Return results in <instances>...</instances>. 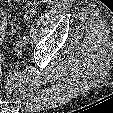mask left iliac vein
<instances>
[{
    "instance_id": "obj_1",
    "label": "left iliac vein",
    "mask_w": 113,
    "mask_h": 113,
    "mask_svg": "<svg viewBox=\"0 0 113 113\" xmlns=\"http://www.w3.org/2000/svg\"><path fill=\"white\" fill-rule=\"evenodd\" d=\"M16 45L18 48H23L26 45V42L24 39H20L17 41Z\"/></svg>"
}]
</instances>
